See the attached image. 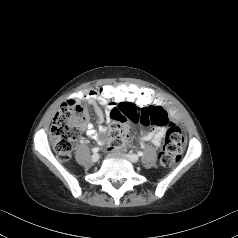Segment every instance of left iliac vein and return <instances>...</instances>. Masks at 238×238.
Here are the masks:
<instances>
[{"instance_id": "1", "label": "left iliac vein", "mask_w": 238, "mask_h": 238, "mask_svg": "<svg viewBox=\"0 0 238 238\" xmlns=\"http://www.w3.org/2000/svg\"><path fill=\"white\" fill-rule=\"evenodd\" d=\"M127 157H128V159H129L132 163H137V162L139 161L138 156L135 155V154L129 153V154L127 155Z\"/></svg>"}]
</instances>
